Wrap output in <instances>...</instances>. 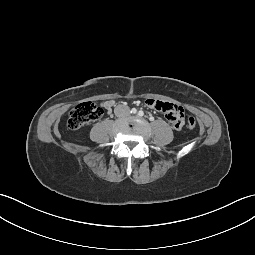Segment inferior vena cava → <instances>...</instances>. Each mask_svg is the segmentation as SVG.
I'll return each instance as SVG.
<instances>
[{"instance_id":"1","label":"inferior vena cava","mask_w":255,"mask_h":255,"mask_svg":"<svg viewBox=\"0 0 255 255\" xmlns=\"http://www.w3.org/2000/svg\"><path fill=\"white\" fill-rule=\"evenodd\" d=\"M119 108H124L126 111H128V107L126 106H120Z\"/></svg>"}]
</instances>
